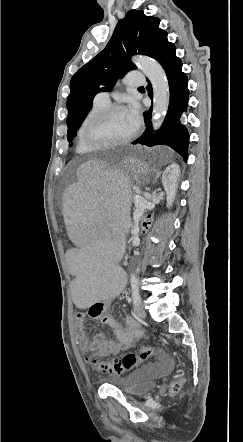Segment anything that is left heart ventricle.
Wrapping results in <instances>:
<instances>
[{
    "label": "left heart ventricle",
    "instance_id": "obj_1",
    "mask_svg": "<svg viewBox=\"0 0 243 442\" xmlns=\"http://www.w3.org/2000/svg\"><path fill=\"white\" fill-rule=\"evenodd\" d=\"M134 129L127 111L120 110L94 123L89 136L96 142H112L126 138Z\"/></svg>",
    "mask_w": 243,
    "mask_h": 442
}]
</instances>
